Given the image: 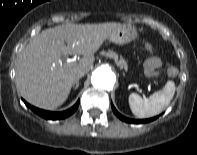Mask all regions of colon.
<instances>
[{
  "mask_svg": "<svg viewBox=\"0 0 197 155\" xmlns=\"http://www.w3.org/2000/svg\"><path fill=\"white\" fill-rule=\"evenodd\" d=\"M149 63L153 67H158L160 65V60L157 57H152Z\"/></svg>",
  "mask_w": 197,
  "mask_h": 155,
  "instance_id": "obj_1",
  "label": "colon"
}]
</instances>
